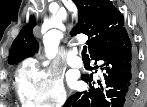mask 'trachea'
<instances>
[{"label": "trachea", "mask_w": 147, "mask_h": 107, "mask_svg": "<svg viewBox=\"0 0 147 107\" xmlns=\"http://www.w3.org/2000/svg\"><path fill=\"white\" fill-rule=\"evenodd\" d=\"M82 56H83V57H88V54H87V46H83V49H82Z\"/></svg>", "instance_id": "1"}]
</instances>
